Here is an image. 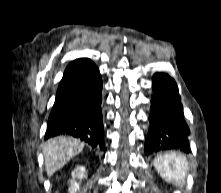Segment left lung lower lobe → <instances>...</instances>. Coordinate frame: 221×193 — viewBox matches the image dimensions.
<instances>
[{"instance_id": "left-lung-lower-lobe-1", "label": "left lung lower lobe", "mask_w": 221, "mask_h": 193, "mask_svg": "<svg viewBox=\"0 0 221 193\" xmlns=\"http://www.w3.org/2000/svg\"><path fill=\"white\" fill-rule=\"evenodd\" d=\"M153 95L149 115V131L145 141L147 155L163 149H179L190 152L181 98L177 85L169 75L156 73L153 76ZM169 118H165V116Z\"/></svg>"}]
</instances>
